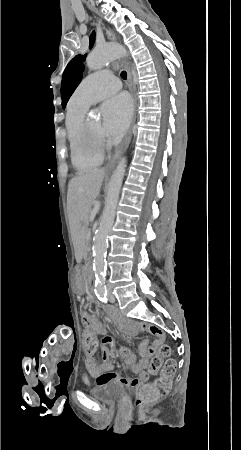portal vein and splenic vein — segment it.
Listing matches in <instances>:
<instances>
[{
    "label": "portal vein and splenic vein",
    "mask_w": 241,
    "mask_h": 450,
    "mask_svg": "<svg viewBox=\"0 0 241 450\" xmlns=\"http://www.w3.org/2000/svg\"><path fill=\"white\" fill-rule=\"evenodd\" d=\"M88 236H91L92 234L90 233V231H87Z\"/></svg>",
    "instance_id": "portal-vein-and-splenic-vein-1"
}]
</instances>
